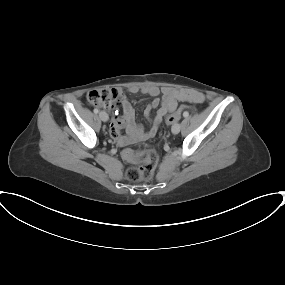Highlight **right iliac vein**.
I'll return each instance as SVG.
<instances>
[{
    "label": "right iliac vein",
    "instance_id": "obj_1",
    "mask_svg": "<svg viewBox=\"0 0 285 285\" xmlns=\"http://www.w3.org/2000/svg\"><path fill=\"white\" fill-rule=\"evenodd\" d=\"M99 118L103 121V122H106V121H108V114L106 113V112H104V111H101L100 113H99Z\"/></svg>",
    "mask_w": 285,
    "mask_h": 285
}]
</instances>
